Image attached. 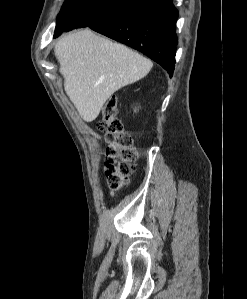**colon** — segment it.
<instances>
[{
  "mask_svg": "<svg viewBox=\"0 0 247 299\" xmlns=\"http://www.w3.org/2000/svg\"><path fill=\"white\" fill-rule=\"evenodd\" d=\"M97 128L104 134L108 144L105 158L108 184L111 189L118 190L127 183L133 172L137 151L133 146L132 137L124 131L123 124L117 117L115 97L106 101Z\"/></svg>",
  "mask_w": 247,
  "mask_h": 299,
  "instance_id": "5ec220e1",
  "label": "colon"
}]
</instances>
